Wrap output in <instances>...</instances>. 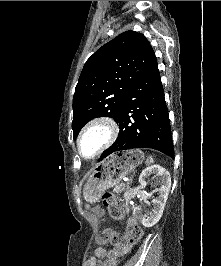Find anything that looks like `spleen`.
<instances>
[{
  "mask_svg": "<svg viewBox=\"0 0 221 266\" xmlns=\"http://www.w3.org/2000/svg\"><path fill=\"white\" fill-rule=\"evenodd\" d=\"M153 162H154L153 158L149 156L147 161H146L147 165H149V164H151Z\"/></svg>",
  "mask_w": 221,
  "mask_h": 266,
  "instance_id": "3e777b00",
  "label": "spleen"
}]
</instances>
